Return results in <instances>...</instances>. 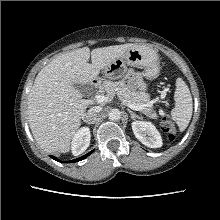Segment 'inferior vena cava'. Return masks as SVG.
<instances>
[{"mask_svg":"<svg viewBox=\"0 0 220 220\" xmlns=\"http://www.w3.org/2000/svg\"><path fill=\"white\" fill-rule=\"evenodd\" d=\"M101 110H102L101 106H94V107H92L91 109L88 110V113L83 114L82 119L84 121H88L89 117L95 116Z\"/></svg>","mask_w":220,"mask_h":220,"instance_id":"602c4592","label":"inferior vena cava"}]
</instances>
